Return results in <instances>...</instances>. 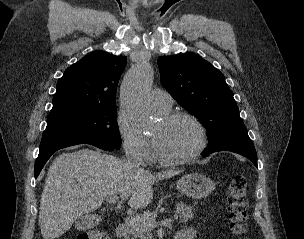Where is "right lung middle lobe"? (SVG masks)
Returning a JSON list of instances; mask_svg holds the SVG:
<instances>
[{
  "label": "right lung middle lobe",
  "mask_w": 304,
  "mask_h": 239,
  "mask_svg": "<svg viewBox=\"0 0 304 239\" xmlns=\"http://www.w3.org/2000/svg\"><path fill=\"white\" fill-rule=\"evenodd\" d=\"M69 138L98 140L119 149L121 137L116 106L80 107L49 113L42 141Z\"/></svg>",
  "instance_id": "dd1d6c3e"
}]
</instances>
